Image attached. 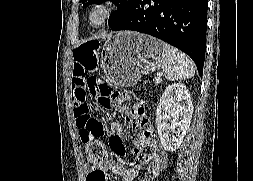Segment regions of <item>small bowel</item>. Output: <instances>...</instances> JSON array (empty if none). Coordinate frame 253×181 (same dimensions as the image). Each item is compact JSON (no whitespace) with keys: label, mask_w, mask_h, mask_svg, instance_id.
I'll list each match as a JSON object with an SVG mask.
<instances>
[{"label":"small bowel","mask_w":253,"mask_h":181,"mask_svg":"<svg viewBox=\"0 0 253 181\" xmlns=\"http://www.w3.org/2000/svg\"><path fill=\"white\" fill-rule=\"evenodd\" d=\"M89 73L90 69L84 65L74 64L71 88L75 116L79 97L87 88V82L90 77ZM129 100V95H121L116 102L121 115L112 121L109 132L110 147L115 158L106 159L100 167H92L88 163L86 165L87 181H112V178H109L108 172L120 176L122 181H135L137 178L139 181H153L166 167L168 161L167 154L160 146L157 136L152 133L151 124L145 117L143 103L136 102L132 108H128L123 103ZM127 121L141 128V132L134 140V146L131 151L132 155L139 157L144 147L148 149V153L133 168L125 167L121 160L125 153L122 136L124 135ZM142 171L144 173H141Z\"/></svg>","instance_id":"obj_1"}]
</instances>
